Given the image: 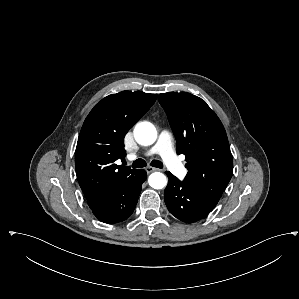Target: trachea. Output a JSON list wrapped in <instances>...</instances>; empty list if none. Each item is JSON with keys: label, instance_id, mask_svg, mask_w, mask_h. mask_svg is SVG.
Segmentation results:
<instances>
[{"label": "trachea", "instance_id": "3493384b", "mask_svg": "<svg viewBox=\"0 0 299 299\" xmlns=\"http://www.w3.org/2000/svg\"><path fill=\"white\" fill-rule=\"evenodd\" d=\"M146 165L147 164H146L145 160L137 159L133 162L132 167L133 168H142V167H145ZM150 165L153 166V167H157V168H163V163L159 160H153L150 163Z\"/></svg>", "mask_w": 299, "mask_h": 299}]
</instances>
